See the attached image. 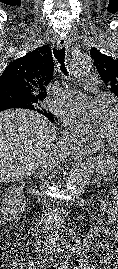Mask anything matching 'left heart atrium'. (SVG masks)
Instances as JSON below:
<instances>
[{
  "label": "left heart atrium",
  "mask_w": 118,
  "mask_h": 269,
  "mask_svg": "<svg viewBox=\"0 0 118 269\" xmlns=\"http://www.w3.org/2000/svg\"><path fill=\"white\" fill-rule=\"evenodd\" d=\"M109 116L107 105L103 102H82L64 113L68 128L83 139L101 137Z\"/></svg>",
  "instance_id": "1"
}]
</instances>
